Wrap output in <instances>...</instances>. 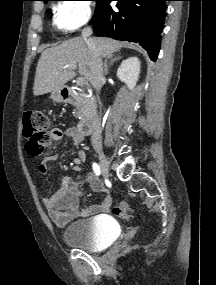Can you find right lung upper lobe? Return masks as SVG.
I'll return each instance as SVG.
<instances>
[{
	"label": "right lung upper lobe",
	"mask_w": 216,
	"mask_h": 285,
	"mask_svg": "<svg viewBox=\"0 0 216 285\" xmlns=\"http://www.w3.org/2000/svg\"><path fill=\"white\" fill-rule=\"evenodd\" d=\"M42 1H44L46 3L47 1H50V0H42Z\"/></svg>",
	"instance_id": "1"
}]
</instances>
